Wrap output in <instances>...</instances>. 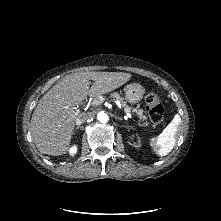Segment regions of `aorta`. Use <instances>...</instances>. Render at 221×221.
I'll return each instance as SVG.
<instances>
[{
	"label": "aorta",
	"mask_w": 221,
	"mask_h": 221,
	"mask_svg": "<svg viewBox=\"0 0 221 221\" xmlns=\"http://www.w3.org/2000/svg\"><path fill=\"white\" fill-rule=\"evenodd\" d=\"M97 119L101 123H106L108 121L109 117L105 112H99L97 115Z\"/></svg>",
	"instance_id": "1"
}]
</instances>
